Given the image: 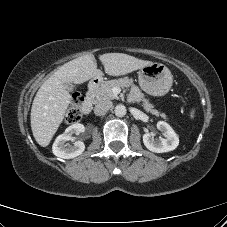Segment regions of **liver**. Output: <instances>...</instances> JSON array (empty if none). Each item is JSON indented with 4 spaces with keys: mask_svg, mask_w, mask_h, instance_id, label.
I'll list each match as a JSON object with an SVG mask.
<instances>
[{
    "mask_svg": "<svg viewBox=\"0 0 227 227\" xmlns=\"http://www.w3.org/2000/svg\"><path fill=\"white\" fill-rule=\"evenodd\" d=\"M99 60L110 76L125 75L152 64L124 53H106L100 55ZM102 75L94 55L87 54L65 63L42 84L31 108V129L40 146L49 145L65 117L71 100L65 84H82Z\"/></svg>",
    "mask_w": 227,
    "mask_h": 227,
    "instance_id": "6515ba94",
    "label": "liver"
}]
</instances>
